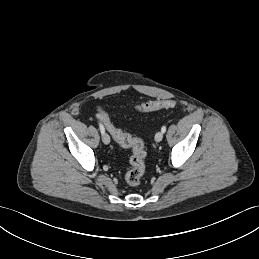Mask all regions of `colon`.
<instances>
[{"label": "colon", "mask_w": 259, "mask_h": 259, "mask_svg": "<svg viewBox=\"0 0 259 259\" xmlns=\"http://www.w3.org/2000/svg\"><path fill=\"white\" fill-rule=\"evenodd\" d=\"M175 101L170 99H160L152 102L143 103L136 107L140 112H151L163 108H172ZM99 119L103 127L112 135L114 140L122 147L130 148L132 155L130 157V169L125 175L126 182L133 187L141 183L145 172V156L146 152L141 139L133 137L116 128L104 111L99 113Z\"/></svg>", "instance_id": "5ec220e1"}]
</instances>
